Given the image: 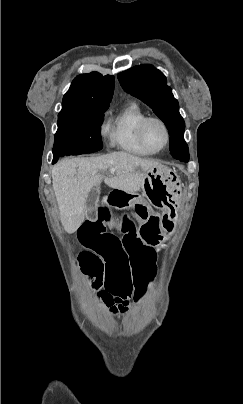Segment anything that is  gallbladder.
Wrapping results in <instances>:
<instances>
[{
    "mask_svg": "<svg viewBox=\"0 0 243 404\" xmlns=\"http://www.w3.org/2000/svg\"><path fill=\"white\" fill-rule=\"evenodd\" d=\"M100 192L97 190V188H93L91 192H89L87 198H86V206H85V211L87 214V218L90 219V223L94 224L97 214H96V206L97 202L99 200Z\"/></svg>",
    "mask_w": 243,
    "mask_h": 404,
    "instance_id": "bac80fb5",
    "label": "gallbladder"
}]
</instances>
